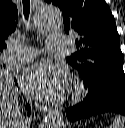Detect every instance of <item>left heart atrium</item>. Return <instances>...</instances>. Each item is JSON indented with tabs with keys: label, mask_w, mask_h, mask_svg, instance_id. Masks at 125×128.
I'll return each mask as SVG.
<instances>
[{
	"label": "left heart atrium",
	"mask_w": 125,
	"mask_h": 128,
	"mask_svg": "<svg viewBox=\"0 0 125 128\" xmlns=\"http://www.w3.org/2000/svg\"><path fill=\"white\" fill-rule=\"evenodd\" d=\"M20 84L29 95L50 99L67 90L69 78L63 67L43 61L26 68L21 73Z\"/></svg>",
	"instance_id": "left-heart-atrium-1"
}]
</instances>
